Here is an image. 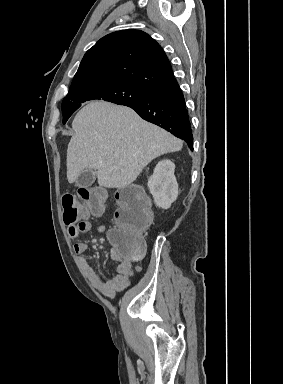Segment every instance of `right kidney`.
<instances>
[{
    "instance_id": "1",
    "label": "right kidney",
    "mask_w": 283,
    "mask_h": 384,
    "mask_svg": "<svg viewBox=\"0 0 283 384\" xmlns=\"http://www.w3.org/2000/svg\"><path fill=\"white\" fill-rule=\"evenodd\" d=\"M175 164L171 160H162L155 166L153 176L148 180L150 194L158 208L168 210L177 200L178 184L174 176Z\"/></svg>"
}]
</instances>
